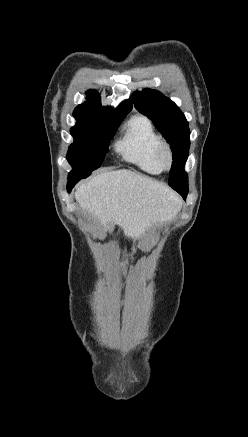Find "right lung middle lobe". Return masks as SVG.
<instances>
[{
    "mask_svg": "<svg viewBox=\"0 0 248 437\" xmlns=\"http://www.w3.org/2000/svg\"><path fill=\"white\" fill-rule=\"evenodd\" d=\"M124 118L96 123L76 119V125L70 130L74 142L69 147L67 160L73 169L68 179L86 178L100 167L109 141Z\"/></svg>",
    "mask_w": 248,
    "mask_h": 437,
    "instance_id": "obj_1",
    "label": "right lung middle lobe"
}]
</instances>
